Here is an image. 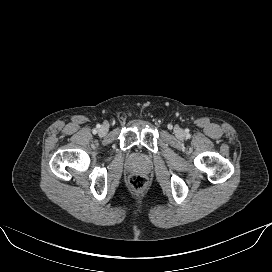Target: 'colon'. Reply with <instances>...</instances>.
<instances>
[{
    "mask_svg": "<svg viewBox=\"0 0 272 272\" xmlns=\"http://www.w3.org/2000/svg\"><path fill=\"white\" fill-rule=\"evenodd\" d=\"M128 183L133 190L140 191L146 187L147 180L143 175L132 174L128 178Z\"/></svg>",
    "mask_w": 272,
    "mask_h": 272,
    "instance_id": "obj_1",
    "label": "colon"
}]
</instances>
